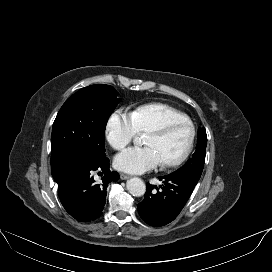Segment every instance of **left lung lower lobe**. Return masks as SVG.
<instances>
[{
	"label": "left lung lower lobe",
	"instance_id": "1",
	"mask_svg": "<svg viewBox=\"0 0 272 272\" xmlns=\"http://www.w3.org/2000/svg\"><path fill=\"white\" fill-rule=\"evenodd\" d=\"M163 185L146 184L144 200L138 204L141 218L151 226H164L173 221L193 192L198 180L173 173L159 177ZM157 188V191L154 190Z\"/></svg>",
	"mask_w": 272,
	"mask_h": 272
}]
</instances>
